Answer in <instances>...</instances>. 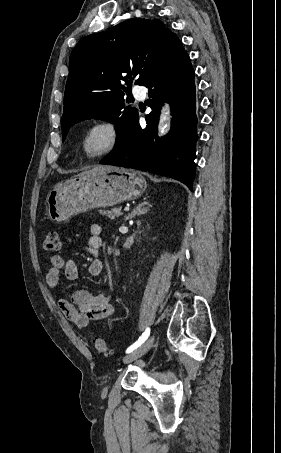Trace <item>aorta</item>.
Returning <instances> with one entry per match:
<instances>
[{
	"label": "aorta",
	"mask_w": 281,
	"mask_h": 453,
	"mask_svg": "<svg viewBox=\"0 0 281 453\" xmlns=\"http://www.w3.org/2000/svg\"><path fill=\"white\" fill-rule=\"evenodd\" d=\"M169 119H170L169 112L163 109L161 117H160V129H161L162 133L164 132L165 128L167 127V121Z\"/></svg>",
	"instance_id": "762f6f07"
}]
</instances>
